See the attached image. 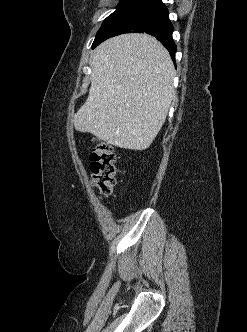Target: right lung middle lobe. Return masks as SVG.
I'll list each match as a JSON object with an SVG mask.
<instances>
[{
	"label": "right lung middle lobe",
	"instance_id": "obj_1",
	"mask_svg": "<svg viewBox=\"0 0 247 332\" xmlns=\"http://www.w3.org/2000/svg\"><path fill=\"white\" fill-rule=\"evenodd\" d=\"M146 3H148V2H146L145 0H120V3L117 6V10L104 20L101 28L99 29V31L96 34L92 47H94L96 45L101 34L110 25H112L114 22H116L117 20H119L120 18L125 16L126 14L132 12L133 10L139 8L140 6H143Z\"/></svg>",
	"mask_w": 247,
	"mask_h": 332
}]
</instances>
